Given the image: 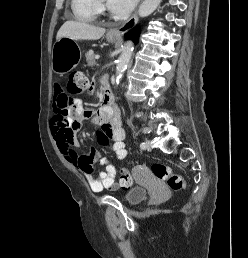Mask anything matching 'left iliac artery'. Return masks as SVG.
<instances>
[{"instance_id":"obj_1","label":"left iliac artery","mask_w":248,"mask_h":258,"mask_svg":"<svg viewBox=\"0 0 248 258\" xmlns=\"http://www.w3.org/2000/svg\"><path fill=\"white\" fill-rule=\"evenodd\" d=\"M140 148L145 149V143L144 142L140 144Z\"/></svg>"}]
</instances>
